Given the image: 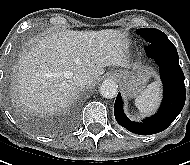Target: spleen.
I'll return each instance as SVG.
<instances>
[{
    "mask_svg": "<svg viewBox=\"0 0 190 165\" xmlns=\"http://www.w3.org/2000/svg\"><path fill=\"white\" fill-rule=\"evenodd\" d=\"M160 82L154 81L147 86V88L140 93L135 99V105L141 113L149 114L159 104L160 101Z\"/></svg>",
    "mask_w": 190,
    "mask_h": 165,
    "instance_id": "obj_1",
    "label": "spleen"
}]
</instances>
